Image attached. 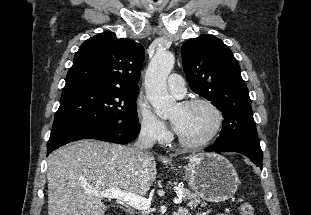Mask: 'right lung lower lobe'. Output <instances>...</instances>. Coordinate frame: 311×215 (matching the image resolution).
Instances as JSON below:
<instances>
[{
    "mask_svg": "<svg viewBox=\"0 0 311 215\" xmlns=\"http://www.w3.org/2000/svg\"><path fill=\"white\" fill-rule=\"evenodd\" d=\"M140 124L132 126H105L91 124H72L53 128L47 144V155L53 150L72 141L96 139L118 144H127L136 138Z\"/></svg>",
    "mask_w": 311,
    "mask_h": 215,
    "instance_id": "right-lung-lower-lobe-1",
    "label": "right lung lower lobe"
}]
</instances>
